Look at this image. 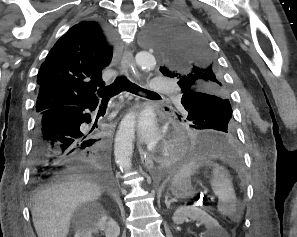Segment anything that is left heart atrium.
Listing matches in <instances>:
<instances>
[{"label": "left heart atrium", "mask_w": 297, "mask_h": 237, "mask_svg": "<svg viewBox=\"0 0 297 237\" xmlns=\"http://www.w3.org/2000/svg\"><path fill=\"white\" fill-rule=\"evenodd\" d=\"M136 129L140 140L146 143H154L159 135L158 127L151 114L141 113L138 115Z\"/></svg>", "instance_id": "obj_1"}]
</instances>
